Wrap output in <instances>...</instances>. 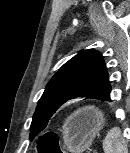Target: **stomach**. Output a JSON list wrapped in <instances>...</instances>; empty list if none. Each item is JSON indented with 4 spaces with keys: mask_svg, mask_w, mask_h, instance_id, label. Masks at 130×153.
<instances>
[{
    "mask_svg": "<svg viewBox=\"0 0 130 153\" xmlns=\"http://www.w3.org/2000/svg\"><path fill=\"white\" fill-rule=\"evenodd\" d=\"M105 124L103 113L94 107L79 109L70 115L63 127L64 144L72 153H82L90 148Z\"/></svg>",
    "mask_w": 130,
    "mask_h": 153,
    "instance_id": "stomach-1",
    "label": "stomach"
}]
</instances>
